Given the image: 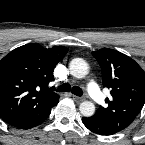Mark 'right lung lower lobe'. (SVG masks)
I'll return each instance as SVG.
<instances>
[{"mask_svg":"<svg viewBox=\"0 0 145 145\" xmlns=\"http://www.w3.org/2000/svg\"><path fill=\"white\" fill-rule=\"evenodd\" d=\"M55 105L49 107L44 112L38 115L20 119L10 125L18 129H30V128L36 127L40 125L41 123H43L48 118L51 112V108L54 107Z\"/></svg>","mask_w":145,"mask_h":145,"instance_id":"obj_1","label":"right lung lower lobe"}]
</instances>
